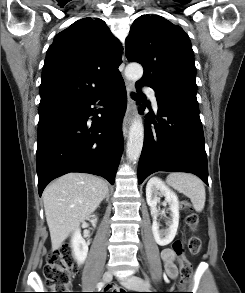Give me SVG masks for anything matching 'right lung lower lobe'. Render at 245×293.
Returning <instances> with one entry per match:
<instances>
[{
  "label": "right lung lower lobe",
  "instance_id": "1",
  "mask_svg": "<svg viewBox=\"0 0 245 293\" xmlns=\"http://www.w3.org/2000/svg\"><path fill=\"white\" fill-rule=\"evenodd\" d=\"M105 108L99 118L91 105ZM127 94L122 77L101 88L87 100L38 124L36 164L38 190L69 172L104 177L112 185L123 150L122 119ZM97 112V110H95ZM93 115L92 124L87 123Z\"/></svg>",
  "mask_w": 245,
  "mask_h": 293
}]
</instances>
